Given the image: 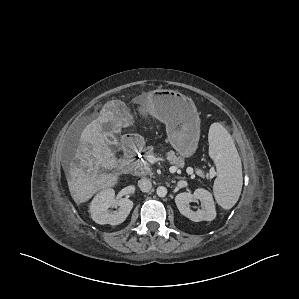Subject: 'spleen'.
<instances>
[{
  "label": "spleen",
  "instance_id": "spleen-1",
  "mask_svg": "<svg viewBox=\"0 0 299 299\" xmlns=\"http://www.w3.org/2000/svg\"><path fill=\"white\" fill-rule=\"evenodd\" d=\"M208 141L209 155L217 169L214 197L222 208L230 209L238 201L242 190L241 159L231 135L220 123L211 124Z\"/></svg>",
  "mask_w": 299,
  "mask_h": 299
}]
</instances>
